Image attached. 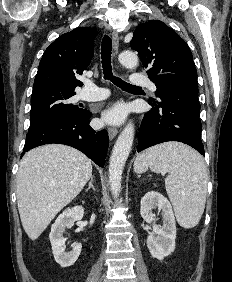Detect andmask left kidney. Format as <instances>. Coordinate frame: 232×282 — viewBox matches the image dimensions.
<instances>
[{"label": "left kidney", "mask_w": 232, "mask_h": 282, "mask_svg": "<svg viewBox=\"0 0 232 282\" xmlns=\"http://www.w3.org/2000/svg\"><path fill=\"white\" fill-rule=\"evenodd\" d=\"M162 210L163 225L155 224V214L152 209ZM140 213L142 218L153 225L152 232L147 239V247L153 258L163 260L175 250L176 222L171 204L161 193L147 192L141 199Z\"/></svg>", "instance_id": "5707ae66"}]
</instances>
